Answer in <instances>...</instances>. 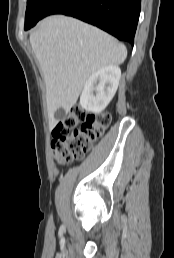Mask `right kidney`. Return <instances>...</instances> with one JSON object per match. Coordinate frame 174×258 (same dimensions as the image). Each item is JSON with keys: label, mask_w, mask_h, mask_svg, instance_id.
Segmentation results:
<instances>
[{"label": "right kidney", "mask_w": 174, "mask_h": 258, "mask_svg": "<svg viewBox=\"0 0 174 258\" xmlns=\"http://www.w3.org/2000/svg\"><path fill=\"white\" fill-rule=\"evenodd\" d=\"M120 77L118 65H108L93 73L85 82L80 96L81 107L92 113L103 111L114 97Z\"/></svg>", "instance_id": "obj_1"}]
</instances>
